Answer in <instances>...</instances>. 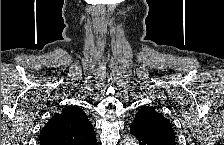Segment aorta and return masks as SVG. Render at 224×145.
I'll return each instance as SVG.
<instances>
[{"label":"aorta","mask_w":224,"mask_h":145,"mask_svg":"<svg viewBox=\"0 0 224 145\" xmlns=\"http://www.w3.org/2000/svg\"><path fill=\"white\" fill-rule=\"evenodd\" d=\"M121 145H138V141L133 136H125L121 142Z\"/></svg>","instance_id":"1"}]
</instances>
